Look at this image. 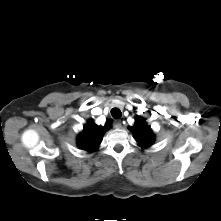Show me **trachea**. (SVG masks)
Masks as SVG:
<instances>
[{"label":"trachea","mask_w":221,"mask_h":221,"mask_svg":"<svg viewBox=\"0 0 221 221\" xmlns=\"http://www.w3.org/2000/svg\"><path fill=\"white\" fill-rule=\"evenodd\" d=\"M111 115L114 119H119L122 116V113H121L120 109L113 108V109H111Z\"/></svg>","instance_id":"trachea-1"}]
</instances>
